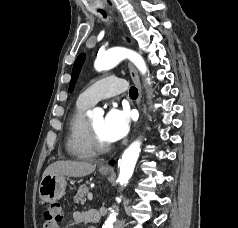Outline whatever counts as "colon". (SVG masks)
Instances as JSON below:
<instances>
[{
	"mask_svg": "<svg viewBox=\"0 0 238 228\" xmlns=\"http://www.w3.org/2000/svg\"><path fill=\"white\" fill-rule=\"evenodd\" d=\"M62 218V208L59 203L47 206L42 212L43 226L51 223H59Z\"/></svg>",
	"mask_w": 238,
	"mask_h": 228,
	"instance_id": "colon-1",
	"label": "colon"
}]
</instances>
